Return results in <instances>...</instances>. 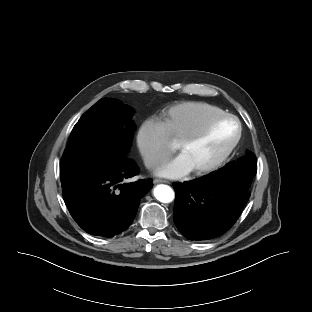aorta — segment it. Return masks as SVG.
<instances>
[{
    "label": "aorta",
    "mask_w": 312,
    "mask_h": 312,
    "mask_svg": "<svg viewBox=\"0 0 312 312\" xmlns=\"http://www.w3.org/2000/svg\"><path fill=\"white\" fill-rule=\"evenodd\" d=\"M154 196L158 201L162 203H170L173 201L175 194L170 186L160 184L155 187Z\"/></svg>",
    "instance_id": "aorta-1"
}]
</instances>
